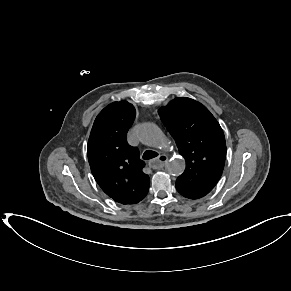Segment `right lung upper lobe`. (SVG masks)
<instances>
[{"label":"right lung upper lobe","instance_id":"cb5924a9","mask_svg":"<svg viewBox=\"0 0 291 291\" xmlns=\"http://www.w3.org/2000/svg\"><path fill=\"white\" fill-rule=\"evenodd\" d=\"M135 118L127 101L113 102L96 117L88 140V160L101 189L116 202L135 204L149 190V176L139 150L127 143L126 135Z\"/></svg>","mask_w":291,"mask_h":291}]
</instances>
